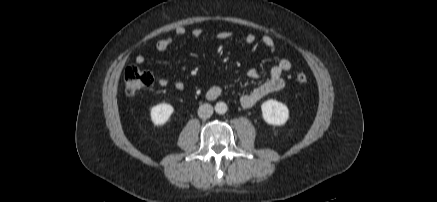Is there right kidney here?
<instances>
[{
    "label": "right kidney",
    "mask_w": 437,
    "mask_h": 202,
    "mask_svg": "<svg viewBox=\"0 0 437 202\" xmlns=\"http://www.w3.org/2000/svg\"><path fill=\"white\" fill-rule=\"evenodd\" d=\"M174 108L170 104L161 103L152 107L150 115L154 125H164L170 118Z\"/></svg>",
    "instance_id": "ca27d5eb"
}]
</instances>
